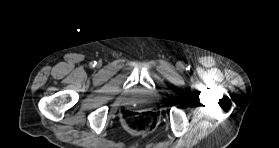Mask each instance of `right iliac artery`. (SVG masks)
Segmentation results:
<instances>
[{"label": "right iliac artery", "instance_id": "obj_1", "mask_svg": "<svg viewBox=\"0 0 279 148\" xmlns=\"http://www.w3.org/2000/svg\"><path fill=\"white\" fill-rule=\"evenodd\" d=\"M91 65H93V66H94V65H95V62H92V63H91Z\"/></svg>", "mask_w": 279, "mask_h": 148}]
</instances>
